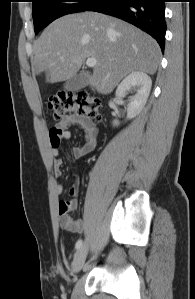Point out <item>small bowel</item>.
<instances>
[{
	"label": "small bowel",
	"instance_id": "small-bowel-1",
	"mask_svg": "<svg viewBox=\"0 0 195 299\" xmlns=\"http://www.w3.org/2000/svg\"><path fill=\"white\" fill-rule=\"evenodd\" d=\"M72 125H77L84 131V143L71 149V153L74 158L83 157L84 155L92 152L97 146L98 131L96 126L89 119L78 115H68L64 117L59 124L50 131L48 136L54 157V176L56 178H59L62 175V161L58 158V148L61 141L67 140L71 137L69 127ZM63 191V185L61 183H56L55 192L57 196L61 197L63 195ZM69 194L73 197L72 199L61 200L59 202V225L63 230L79 233L82 231L84 223L81 219H76L71 215V212L75 210L77 206V201L74 198L77 194V189L72 187ZM66 210H68V212L65 213Z\"/></svg>",
	"mask_w": 195,
	"mask_h": 299
}]
</instances>
